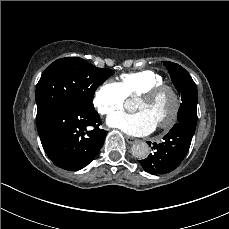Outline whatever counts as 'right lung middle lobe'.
<instances>
[{
    "label": "right lung middle lobe",
    "instance_id": "right-lung-middle-lobe-1",
    "mask_svg": "<svg viewBox=\"0 0 229 229\" xmlns=\"http://www.w3.org/2000/svg\"><path fill=\"white\" fill-rule=\"evenodd\" d=\"M113 73L111 69L95 67L77 57L56 60L45 69L37 84L36 122L63 104L95 111L92 104L94 92Z\"/></svg>",
    "mask_w": 229,
    "mask_h": 229
}]
</instances>
